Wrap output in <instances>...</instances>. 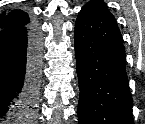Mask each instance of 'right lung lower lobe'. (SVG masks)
Wrapping results in <instances>:
<instances>
[{
	"instance_id": "1",
	"label": "right lung lower lobe",
	"mask_w": 145,
	"mask_h": 124,
	"mask_svg": "<svg viewBox=\"0 0 145 124\" xmlns=\"http://www.w3.org/2000/svg\"><path fill=\"white\" fill-rule=\"evenodd\" d=\"M41 39L29 24L0 30V122L20 124L36 110Z\"/></svg>"
}]
</instances>
